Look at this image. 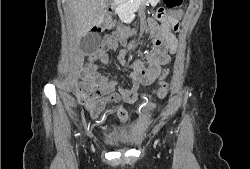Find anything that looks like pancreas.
I'll use <instances>...</instances> for the list:
<instances>
[{
    "mask_svg": "<svg viewBox=\"0 0 250 169\" xmlns=\"http://www.w3.org/2000/svg\"><path fill=\"white\" fill-rule=\"evenodd\" d=\"M124 2H126V4H127L129 12H135V10H137V8H138L137 0H135V2H130V0H124Z\"/></svg>",
    "mask_w": 250,
    "mask_h": 169,
    "instance_id": "pancreas-1",
    "label": "pancreas"
}]
</instances>
